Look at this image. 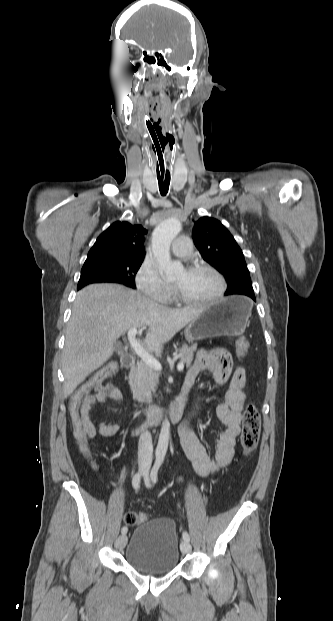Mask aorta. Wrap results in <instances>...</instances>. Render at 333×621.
<instances>
[{"label": "aorta", "mask_w": 333, "mask_h": 621, "mask_svg": "<svg viewBox=\"0 0 333 621\" xmlns=\"http://www.w3.org/2000/svg\"><path fill=\"white\" fill-rule=\"evenodd\" d=\"M181 222L176 218H169L161 222L152 233V250L156 258L160 273L167 278H174L183 272V265L179 261H172L170 245L181 231ZM169 421L166 419L161 427L156 455L164 457L169 443Z\"/></svg>", "instance_id": "aorta-1"}]
</instances>
